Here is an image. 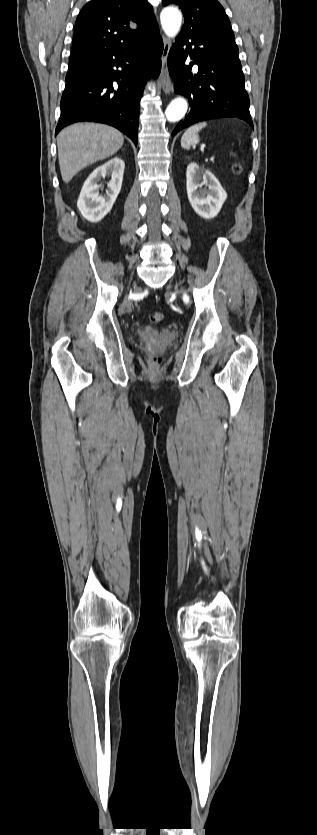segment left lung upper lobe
<instances>
[{
    "instance_id": "left-lung-upper-lobe-1",
    "label": "left lung upper lobe",
    "mask_w": 317,
    "mask_h": 835,
    "mask_svg": "<svg viewBox=\"0 0 317 835\" xmlns=\"http://www.w3.org/2000/svg\"><path fill=\"white\" fill-rule=\"evenodd\" d=\"M162 3L164 6L175 4L182 9L185 24L178 38L212 35L236 44L230 21L217 0H162Z\"/></svg>"
}]
</instances>
